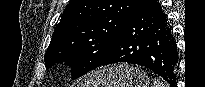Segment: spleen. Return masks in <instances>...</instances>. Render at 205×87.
Returning a JSON list of instances; mask_svg holds the SVG:
<instances>
[{"label":"spleen","instance_id":"1","mask_svg":"<svg viewBox=\"0 0 205 87\" xmlns=\"http://www.w3.org/2000/svg\"><path fill=\"white\" fill-rule=\"evenodd\" d=\"M153 85L154 87H164V84L158 79H154Z\"/></svg>","mask_w":205,"mask_h":87}]
</instances>
